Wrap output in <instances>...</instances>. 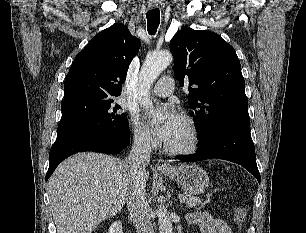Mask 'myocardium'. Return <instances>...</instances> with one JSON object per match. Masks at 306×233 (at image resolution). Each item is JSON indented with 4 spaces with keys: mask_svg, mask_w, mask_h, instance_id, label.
Here are the masks:
<instances>
[{
    "mask_svg": "<svg viewBox=\"0 0 306 233\" xmlns=\"http://www.w3.org/2000/svg\"><path fill=\"white\" fill-rule=\"evenodd\" d=\"M182 120L186 122L191 133V141L185 147L174 148L164 144V150L172 155H189L197 151L200 145V131L196 121L189 115H183Z\"/></svg>",
    "mask_w": 306,
    "mask_h": 233,
    "instance_id": "f54148a6",
    "label": "myocardium"
}]
</instances>
